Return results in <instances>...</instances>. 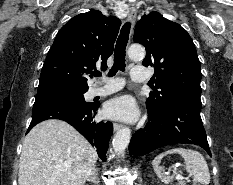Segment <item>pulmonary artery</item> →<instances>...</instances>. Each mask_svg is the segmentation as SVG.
Here are the masks:
<instances>
[{"mask_svg": "<svg viewBox=\"0 0 233 185\" xmlns=\"http://www.w3.org/2000/svg\"><path fill=\"white\" fill-rule=\"evenodd\" d=\"M148 77L147 70L143 67H133L131 69V78L136 82L146 81ZM105 80L103 86H96L92 90L93 96H105L120 90L123 86L121 79L107 78L102 76Z\"/></svg>", "mask_w": 233, "mask_h": 185, "instance_id": "pulmonary-artery-1", "label": "pulmonary artery"}]
</instances>
